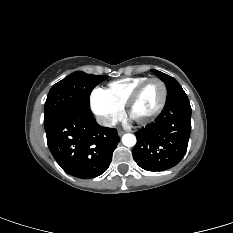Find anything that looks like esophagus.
Returning a JSON list of instances; mask_svg holds the SVG:
<instances>
[{
  "mask_svg": "<svg viewBox=\"0 0 233 233\" xmlns=\"http://www.w3.org/2000/svg\"><path fill=\"white\" fill-rule=\"evenodd\" d=\"M124 134V131L123 130H118V135L119 136H122Z\"/></svg>",
  "mask_w": 233,
  "mask_h": 233,
  "instance_id": "1",
  "label": "esophagus"
}]
</instances>
